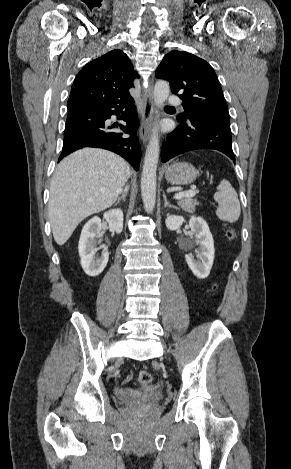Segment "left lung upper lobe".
<instances>
[{
  "instance_id": "left-lung-upper-lobe-1",
  "label": "left lung upper lobe",
  "mask_w": 291,
  "mask_h": 469,
  "mask_svg": "<svg viewBox=\"0 0 291 469\" xmlns=\"http://www.w3.org/2000/svg\"><path fill=\"white\" fill-rule=\"evenodd\" d=\"M157 78L170 82L171 91L179 93L185 112L177 116L179 123L200 116L230 124L228 106L213 68L203 59L173 50L158 66Z\"/></svg>"
}]
</instances>
